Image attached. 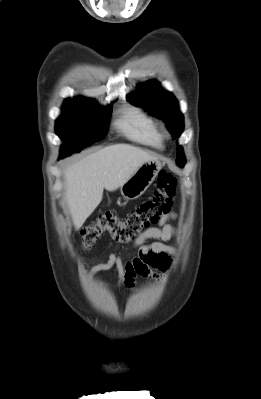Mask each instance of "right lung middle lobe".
<instances>
[{"instance_id":"dd1d6c3e","label":"right lung middle lobe","mask_w":261,"mask_h":399,"mask_svg":"<svg viewBox=\"0 0 261 399\" xmlns=\"http://www.w3.org/2000/svg\"><path fill=\"white\" fill-rule=\"evenodd\" d=\"M111 107L100 108L95 101L65 102L56 121V133L63 140V157L79 152L103 138L111 116Z\"/></svg>"}]
</instances>
